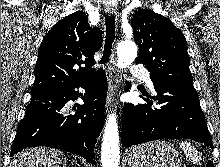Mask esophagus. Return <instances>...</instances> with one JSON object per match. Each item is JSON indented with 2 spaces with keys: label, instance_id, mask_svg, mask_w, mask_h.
<instances>
[{
  "label": "esophagus",
  "instance_id": "1",
  "mask_svg": "<svg viewBox=\"0 0 220 167\" xmlns=\"http://www.w3.org/2000/svg\"><path fill=\"white\" fill-rule=\"evenodd\" d=\"M105 11L106 13L113 15L116 13V7L112 5L106 6ZM105 70L108 78V93L106 98V107L108 108L113 103L115 93L118 89L119 73L112 61L106 65Z\"/></svg>",
  "mask_w": 220,
  "mask_h": 167
}]
</instances>
